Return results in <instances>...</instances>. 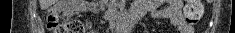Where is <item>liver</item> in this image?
<instances>
[{"mask_svg":"<svg viewBox=\"0 0 235 33\" xmlns=\"http://www.w3.org/2000/svg\"><path fill=\"white\" fill-rule=\"evenodd\" d=\"M55 3V0H39L40 8L45 10Z\"/></svg>","mask_w":235,"mask_h":33,"instance_id":"obj_1","label":"liver"}]
</instances>
